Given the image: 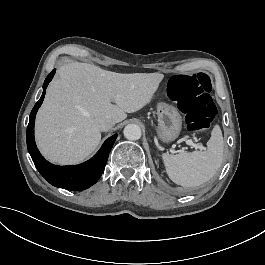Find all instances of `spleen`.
<instances>
[{"label": "spleen", "instance_id": "spleen-1", "mask_svg": "<svg viewBox=\"0 0 265 265\" xmlns=\"http://www.w3.org/2000/svg\"><path fill=\"white\" fill-rule=\"evenodd\" d=\"M224 142L219 125H215L206 151L162 155L169 178L184 187H195L209 181L223 161Z\"/></svg>", "mask_w": 265, "mask_h": 265}]
</instances>
